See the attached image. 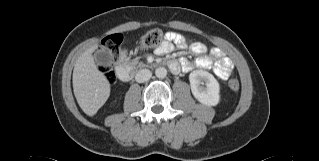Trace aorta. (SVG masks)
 <instances>
[{"label": "aorta", "mask_w": 319, "mask_h": 161, "mask_svg": "<svg viewBox=\"0 0 319 161\" xmlns=\"http://www.w3.org/2000/svg\"><path fill=\"white\" fill-rule=\"evenodd\" d=\"M155 75L157 78H165L167 75V70L164 67H159L155 70Z\"/></svg>", "instance_id": "762f6f07"}]
</instances>
